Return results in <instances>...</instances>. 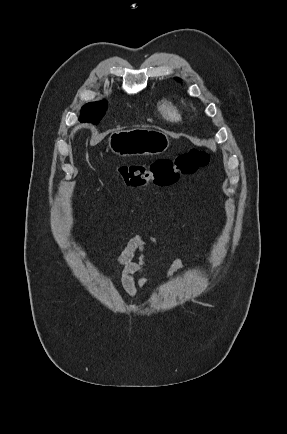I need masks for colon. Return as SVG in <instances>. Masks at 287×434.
Segmentation results:
<instances>
[{
  "mask_svg": "<svg viewBox=\"0 0 287 434\" xmlns=\"http://www.w3.org/2000/svg\"><path fill=\"white\" fill-rule=\"evenodd\" d=\"M209 163V155L203 149L194 148L179 154L174 160L160 159L150 165L131 164L118 168L121 180L131 187L153 184L160 187L173 185L181 176L194 174Z\"/></svg>",
  "mask_w": 287,
  "mask_h": 434,
  "instance_id": "1",
  "label": "colon"
}]
</instances>
